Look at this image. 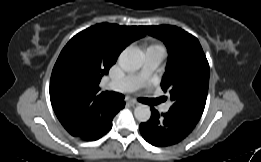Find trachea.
Wrapping results in <instances>:
<instances>
[{"label":"trachea","instance_id":"trachea-1","mask_svg":"<svg viewBox=\"0 0 261 162\" xmlns=\"http://www.w3.org/2000/svg\"><path fill=\"white\" fill-rule=\"evenodd\" d=\"M106 93L110 98H112L114 100H123L124 99V96L122 94H119L116 92H109V91H107Z\"/></svg>","mask_w":261,"mask_h":162}]
</instances>
